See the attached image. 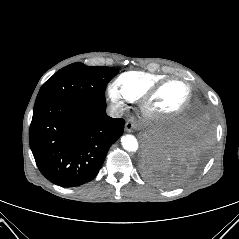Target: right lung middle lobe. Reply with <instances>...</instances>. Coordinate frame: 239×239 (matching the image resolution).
Wrapping results in <instances>:
<instances>
[{
  "label": "right lung middle lobe",
  "instance_id": "1",
  "mask_svg": "<svg viewBox=\"0 0 239 239\" xmlns=\"http://www.w3.org/2000/svg\"><path fill=\"white\" fill-rule=\"evenodd\" d=\"M117 72L118 69L112 67L70 64L42 85L35 105L64 99L106 103L104 89Z\"/></svg>",
  "mask_w": 239,
  "mask_h": 239
}]
</instances>
